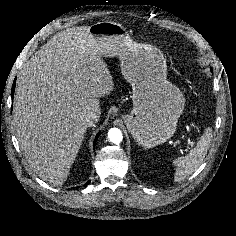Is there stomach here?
<instances>
[{"instance_id": "1", "label": "stomach", "mask_w": 236, "mask_h": 236, "mask_svg": "<svg viewBox=\"0 0 236 236\" xmlns=\"http://www.w3.org/2000/svg\"><path fill=\"white\" fill-rule=\"evenodd\" d=\"M99 53L118 56L121 72L132 86L133 110L121 117L138 145L152 148L170 139L184 110L182 92L167 80L162 52L134 41L119 23L101 21L89 27Z\"/></svg>"}]
</instances>
